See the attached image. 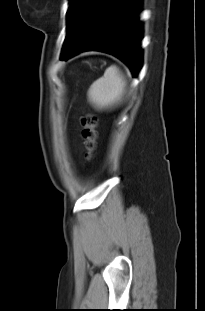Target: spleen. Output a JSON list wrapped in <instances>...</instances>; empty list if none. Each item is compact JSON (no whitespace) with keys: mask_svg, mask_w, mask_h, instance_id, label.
Listing matches in <instances>:
<instances>
[{"mask_svg":"<svg viewBox=\"0 0 205 311\" xmlns=\"http://www.w3.org/2000/svg\"><path fill=\"white\" fill-rule=\"evenodd\" d=\"M126 80L116 65L108 67L104 75L94 81L88 90V100L98 109H103L121 100Z\"/></svg>","mask_w":205,"mask_h":311,"instance_id":"1","label":"spleen"}]
</instances>
